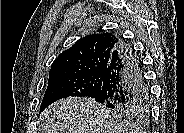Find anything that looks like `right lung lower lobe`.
Returning a JSON list of instances; mask_svg holds the SVG:
<instances>
[{"label":"right lung lower lobe","mask_w":184,"mask_h":133,"mask_svg":"<svg viewBox=\"0 0 184 133\" xmlns=\"http://www.w3.org/2000/svg\"><path fill=\"white\" fill-rule=\"evenodd\" d=\"M148 95L140 60L131 47L119 40L103 72L101 89L93 99L105 105H129Z\"/></svg>","instance_id":"98d812e1"}]
</instances>
